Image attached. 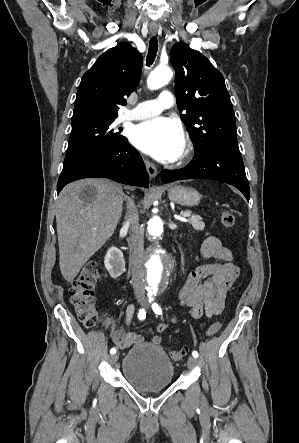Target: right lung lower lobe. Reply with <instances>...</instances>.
I'll list each match as a JSON object with an SVG mask.
<instances>
[{
	"label": "right lung lower lobe",
	"instance_id": "98d812e1",
	"mask_svg": "<svg viewBox=\"0 0 299 443\" xmlns=\"http://www.w3.org/2000/svg\"><path fill=\"white\" fill-rule=\"evenodd\" d=\"M89 177L109 178L119 183L145 188H148L149 183V176L141 156L127 140L62 170L57 183V193L59 194L66 184Z\"/></svg>",
	"mask_w": 299,
	"mask_h": 443
}]
</instances>
